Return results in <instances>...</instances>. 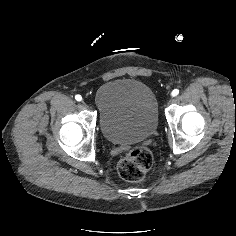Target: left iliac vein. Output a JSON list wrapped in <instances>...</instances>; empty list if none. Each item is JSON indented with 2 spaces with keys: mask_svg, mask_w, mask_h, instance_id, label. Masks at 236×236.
<instances>
[{
  "mask_svg": "<svg viewBox=\"0 0 236 236\" xmlns=\"http://www.w3.org/2000/svg\"><path fill=\"white\" fill-rule=\"evenodd\" d=\"M175 100V97H174V95H169V97H168V99H167V101H165V106H170V104H171V102H173Z\"/></svg>",
  "mask_w": 236,
  "mask_h": 236,
  "instance_id": "4c4485c4",
  "label": "left iliac vein"
}]
</instances>
